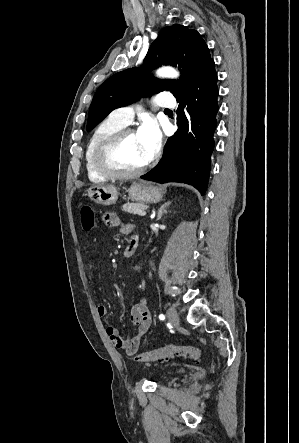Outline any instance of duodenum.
Returning <instances> with one entry per match:
<instances>
[{
	"label": "duodenum",
	"mask_w": 299,
	"mask_h": 443,
	"mask_svg": "<svg viewBox=\"0 0 299 443\" xmlns=\"http://www.w3.org/2000/svg\"><path fill=\"white\" fill-rule=\"evenodd\" d=\"M137 246H138V240L137 239L131 240L130 243L127 245V247L124 249L123 256L130 257L131 255H133V253L137 249Z\"/></svg>",
	"instance_id": "duodenum-1"
}]
</instances>
